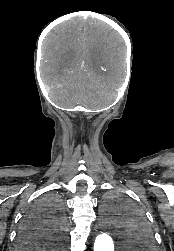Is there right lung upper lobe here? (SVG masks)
I'll return each mask as SVG.
<instances>
[{"label":"right lung upper lobe","instance_id":"1","mask_svg":"<svg viewBox=\"0 0 174 251\" xmlns=\"http://www.w3.org/2000/svg\"><path fill=\"white\" fill-rule=\"evenodd\" d=\"M46 244H47V242L43 246H41V247H35V248H39L40 250H43V248H47L48 247Z\"/></svg>","mask_w":174,"mask_h":251}]
</instances>
